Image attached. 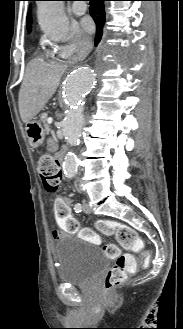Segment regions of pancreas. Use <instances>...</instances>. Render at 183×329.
<instances>
[{"label": "pancreas", "mask_w": 183, "mask_h": 329, "mask_svg": "<svg viewBox=\"0 0 183 329\" xmlns=\"http://www.w3.org/2000/svg\"><path fill=\"white\" fill-rule=\"evenodd\" d=\"M43 125H44V129L47 133L50 132V127L49 125L47 124V115H44L43 119L41 120Z\"/></svg>", "instance_id": "pancreas-1"}]
</instances>
